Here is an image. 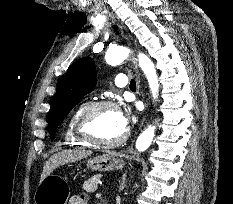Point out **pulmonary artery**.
I'll list each match as a JSON object with an SVG mask.
<instances>
[{
	"label": "pulmonary artery",
	"instance_id": "1",
	"mask_svg": "<svg viewBox=\"0 0 233 204\" xmlns=\"http://www.w3.org/2000/svg\"><path fill=\"white\" fill-rule=\"evenodd\" d=\"M115 85L117 87H120V88H123L127 85L128 83V78L125 74H118L116 77H115Z\"/></svg>",
	"mask_w": 233,
	"mask_h": 204
}]
</instances>
